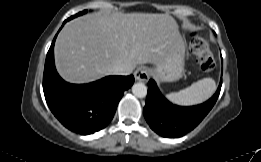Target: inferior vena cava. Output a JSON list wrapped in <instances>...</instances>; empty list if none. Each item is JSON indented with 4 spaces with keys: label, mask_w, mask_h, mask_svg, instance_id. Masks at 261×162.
Listing matches in <instances>:
<instances>
[{
    "label": "inferior vena cava",
    "mask_w": 261,
    "mask_h": 162,
    "mask_svg": "<svg viewBox=\"0 0 261 162\" xmlns=\"http://www.w3.org/2000/svg\"><path fill=\"white\" fill-rule=\"evenodd\" d=\"M133 71L132 67L124 66V65H117L112 68V73L115 75H129Z\"/></svg>",
    "instance_id": "602c4592"
}]
</instances>
